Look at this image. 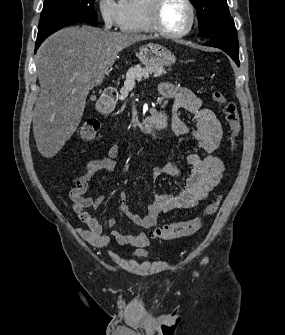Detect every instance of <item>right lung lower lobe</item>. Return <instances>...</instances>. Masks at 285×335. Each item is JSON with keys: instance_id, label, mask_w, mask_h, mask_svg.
Here are the masks:
<instances>
[{"instance_id": "right-lung-lower-lobe-1", "label": "right lung lower lobe", "mask_w": 285, "mask_h": 335, "mask_svg": "<svg viewBox=\"0 0 285 335\" xmlns=\"http://www.w3.org/2000/svg\"><path fill=\"white\" fill-rule=\"evenodd\" d=\"M73 23H78V21H68V22H64L61 23L55 27H53L52 29H50L49 31H47L44 34H38L37 36V41H36V45H35V53L37 51V49L39 48V46L41 45V43L51 34H53L54 32H56L57 30L62 29L63 27L69 25V24H73Z\"/></svg>"}]
</instances>
